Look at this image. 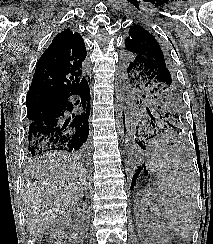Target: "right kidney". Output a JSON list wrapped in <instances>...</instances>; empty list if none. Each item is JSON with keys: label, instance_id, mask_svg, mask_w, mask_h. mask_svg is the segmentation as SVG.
Instances as JSON below:
<instances>
[{"label": "right kidney", "instance_id": "obj_1", "mask_svg": "<svg viewBox=\"0 0 213 244\" xmlns=\"http://www.w3.org/2000/svg\"><path fill=\"white\" fill-rule=\"evenodd\" d=\"M86 209H87V205L85 203L76 205L74 209L65 213L64 216L66 217L74 216L76 217L77 222L81 227H86V224L88 223V219H87L88 212L86 211Z\"/></svg>", "mask_w": 213, "mask_h": 244}]
</instances>
